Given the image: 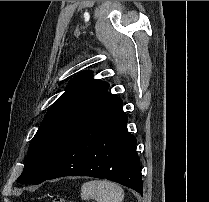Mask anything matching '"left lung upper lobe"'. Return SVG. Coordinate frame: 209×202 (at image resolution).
Segmentation results:
<instances>
[{
    "label": "left lung upper lobe",
    "mask_w": 209,
    "mask_h": 202,
    "mask_svg": "<svg viewBox=\"0 0 209 202\" xmlns=\"http://www.w3.org/2000/svg\"><path fill=\"white\" fill-rule=\"evenodd\" d=\"M109 84L95 80L91 71L73 78L65 93L45 115L33 137L22 174V184H39L55 169L67 144L81 125L116 96L108 93Z\"/></svg>",
    "instance_id": "obj_1"
}]
</instances>
